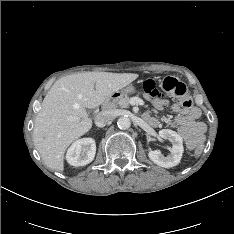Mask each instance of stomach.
Returning <instances> with one entry per match:
<instances>
[{"mask_svg":"<svg viewBox=\"0 0 234 234\" xmlns=\"http://www.w3.org/2000/svg\"><path fill=\"white\" fill-rule=\"evenodd\" d=\"M135 91H136L135 87L132 84H128L125 87H123L122 89H120V91H117L115 93H118L119 96L122 97V96H125L127 94H132Z\"/></svg>","mask_w":234,"mask_h":234,"instance_id":"stomach-1","label":"stomach"}]
</instances>
